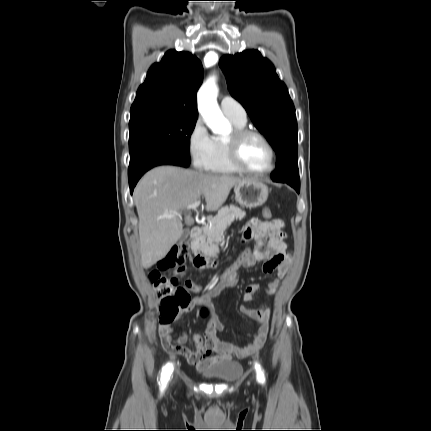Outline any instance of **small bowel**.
<instances>
[{
	"label": "small bowel",
	"instance_id": "obj_1",
	"mask_svg": "<svg viewBox=\"0 0 431 431\" xmlns=\"http://www.w3.org/2000/svg\"><path fill=\"white\" fill-rule=\"evenodd\" d=\"M283 228L284 223L280 219L270 221L251 219L243 230L242 241L244 243H253L252 247H250L252 254L247 260H244L245 265L243 268H250L258 263H262V271L265 274H276V278L264 288L265 292L269 295H274L277 292L279 282L285 275L291 261L285 240L286 234ZM223 270L226 272L225 276H228L229 267L226 266ZM219 276H222V273H219ZM234 276L239 281V273H235ZM185 286L194 293H200L202 296L206 295L207 290L192 280H186ZM258 290V284L247 285L243 293L244 302L251 301ZM196 299L197 297L191 301L194 302ZM212 309L213 304L205 310L200 308V315L206 313L209 319L204 335L193 334L191 336L190 340L194 345L192 349L185 346L188 340V335L185 332H180L174 338L172 325L170 323L161 324L158 327V333L164 350L170 355H183L197 369L205 370L229 362L233 357L246 358L257 353L262 348L268 333L270 316V309L268 307H261L259 309H252L246 306L241 307V311L252 317L256 324V332L251 336V341L241 347L222 341L218 337V332L223 331L225 326ZM213 353H216V355H213Z\"/></svg>",
	"mask_w": 431,
	"mask_h": 431
}]
</instances>
